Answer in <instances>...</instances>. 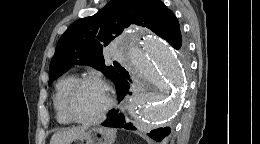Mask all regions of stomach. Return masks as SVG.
I'll use <instances>...</instances> for the list:
<instances>
[{"label": "stomach", "instance_id": "stomach-1", "mask_svg": "<svg viewBox=\"0 0 260 144\" xmlns=\"http://www.w3.org/2000/svg\"><path fill=\"white\" fill-rule=\"evenodd\" d=\"M115 138L116 131L114 129L94 127L74 139L70 144H113Z\"/></svg>", "mask_w": 260, "mask_h": 144}]
</instances>
